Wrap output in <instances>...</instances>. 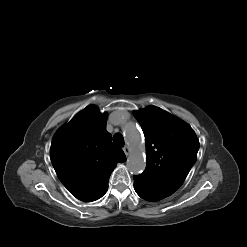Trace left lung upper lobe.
Wrapping results in <instances>:
<instances>
[{
  "instance_id": "left-lung-upper-lobe-1",
  "label": "left lung upper lobe",
  "mask_w": 247,
  "mask_h": 247,
  "mask_svg": "<svg viewBox=\"0 0 247 247\" xmlns=\"http://www.w3.org/2000/svg\"><path fill=\"white\" fill-rule=\"evenodd\" d=\"M134 116L145 135L147 159L145 171L137 177L168 197L182 185L196 162L197 136L186 122L155 106L134 111Z\"/></svg>"
}]
</instances>
